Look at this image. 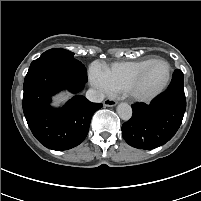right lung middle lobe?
<instances>
[{
	"mask_svg": "<svg viewBox=\"0 0 201 201\" xmlns=\"http://www.w3.org/2000/svg\"><path fill=\"white\" fill-rule=\"evenodd\" d=\"M50 54H58V55H62V56L68 57V58H73V56H74V53H72L68 50L62 49V48H54V49L47 50L41 56L50 55ZM82 71H83L84 76L86 77L87 76L86 69H82Z\"/></svg>",
	"mask_w": 201,
	"mask_h": 201,
	"instance_id": "1",
	"label": "right lung middle lobe"
}]
</instances>
